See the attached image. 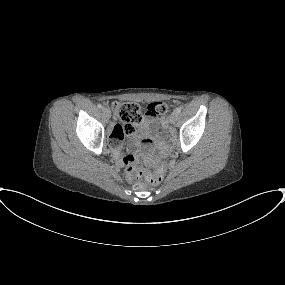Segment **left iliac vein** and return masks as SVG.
Returning a JSON list of instances; mask_svg holds the SVG:
<instances>
[{
  "mask_svg": "<svg viewBox=\"0 0 285 285\" xmlns=\"http://www.w3.org/2000/svg\"><path fill=\"white\" fill-rule=\"evenodd\" d=\"M178 120V114L174 111L172 112V114L170 115V122L172 124H175Z\"/></svg>",
  "mask_w": 285,
  "mask_h": 285,
  "instance_id": "1",
  "label": "left iliac vein"
}]
</instances>
